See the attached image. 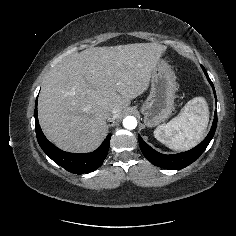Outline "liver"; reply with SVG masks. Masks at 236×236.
Wrapping results in <instances>:
<instances>
[{
  "label": "liver",
  "instance_id": "6515ba94",
  "mask_svg": "<svg viewBox=\"0 0 236 236\" xmlns=\"http://www.w3.org/2000/svg\"><path fill=\"white\" fill-rule=\"evenodd\" d=\"M165 51L158 43L93 47L61 61L47 75L38 100L46 137L69 152L95 149L108 114L117 109L119 118L130 100L148 89Z\"/></svg>",
  "mask_w": 236,
  "mask_h": 236
}]
</instances>
